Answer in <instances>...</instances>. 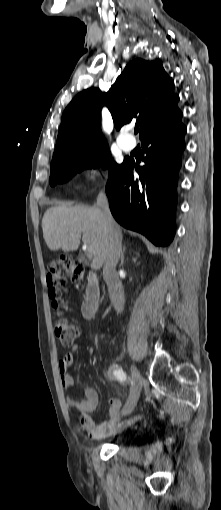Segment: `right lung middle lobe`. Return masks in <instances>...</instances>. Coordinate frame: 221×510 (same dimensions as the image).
I'll return each mask as SVG.
<instances>
[{"mask_svg": "<svg viewBox=\"0 0 221 510\" xmlns=\"http://www.w3.org/2000/svg\"><path fill=\"white\" fill-rule=\"evenodd\" d=\"M111 161V155L106 144L73 149L66 154L52 160L50 172V184L68 181L76 172L84 168L104 166L109 168V179H111L120 165ZM110 163V164H109ZM108 179V180H109Z\"/></svg>", "mask_w": 221, "mask_h": 510, "instance_id": "right-lung-middle-lobe-1", "label": "right lung middle lobe"}]
</instances>
